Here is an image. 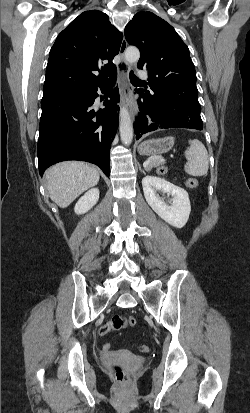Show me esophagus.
I'll return each mask as SVG.
<instances>
[{"label":"esophagus","instance_id":"1","mask_svg":"<svg viewBox=\"0 0 250 413\" xmlns=\"http://www.w3.org/2000/svg\"><path fill=\"white\" fill-rule=\"evenodd\" d=\"M126 48H127V41L125 38H123L121 46H120V51H119L120 61L117 65L118 84L129 106L131 117L134 120L136 113H137V106L130 102L129 96H128L129 91H130L129 83H128V74H129L130 66L124 57Z\"/></svg>","mask_w":250,"mask_h":413}]
</instances>
